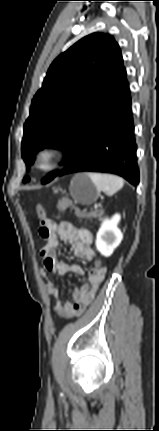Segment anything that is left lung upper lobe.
<instances>
[{"label":"left lung upper lobe","mask_w":159,"mask_h":431,"mask_svg":"<svg viewBox=\"0 0 159 431\" xmlns=\"http://www.w3.org/2000/svg\"><path fill=\"white\" fill-rule=\"evenodd\" d=\"M126 80L117 42L111 35L90 34L51 64L34 96L24 124L21 153L26 165L45 147L71 152L82 127L110 100ZM58 172H51L43 183ZM26 176L24 182L28 181Z\"/></svg>","instance_id":"5c2ea615"}]
</instances>
